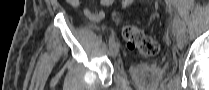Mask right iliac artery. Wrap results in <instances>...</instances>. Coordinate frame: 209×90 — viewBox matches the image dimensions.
Listing matches in <instances>:
<instances>
[{"mask_svg":"<svg viewBox=\"0 0 209 90\" xmlns=\"http://www.w3.org/2000/svg\"><path fill=\"white\" fill-rule=\"evenodd\" d=\"M128 2H125L124 6L127 5ZM115 42V34L114 32L112 31L110 37H109V46H111L113 43Z\"/></svg>","mask_w":209,"mask_h":90,"instance_id":"82829eb1","label":"right iliac artery"}]
</instances>
